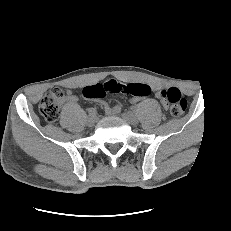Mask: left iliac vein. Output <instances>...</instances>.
I'll return each instance as SVG.
<instances>
[{"mask_svg": "<svg viewBox=\"0 0 231 231\" xmlns=\"http://www.w3.org/2000/svg\"><path fill=\"white\" fill-rule=\"evenodd\" d=\"M122 117L131 125H137L139 122L136 115H134L132 112H125L122 114Z\"/></svg>", "mask_w": 231, "mask_h": 231, "instance_id": "1", "label": "left iliac vein"}]
</instances>
